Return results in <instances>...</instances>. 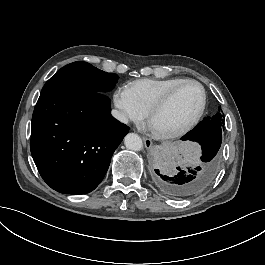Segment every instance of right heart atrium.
I'll use <instances>...</instances> for the list:
<instances>
[{
    "label": "right heart atrium",
    "mask_w": 265,
    "mask_h": 265,
    "mask_svg": "<svg viewBox=\"0 0 265 265\" xmlns=\"http://www.w3.org/2000/svg\"><path fill=\"white\" fill-rule=\"evenodd\" d=\"M134 104V97L125 86H120L112 99V118L120 127H130L134 123L142 125L146 120V113L138 110L135 115L131 106Z\"/></svg>",
    "instance_id": "d8ad5b80"
}]
</instances>
